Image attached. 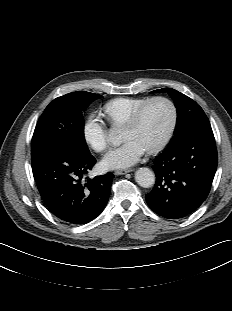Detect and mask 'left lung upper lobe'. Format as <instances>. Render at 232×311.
I'll use <instances>...</instances> for the list:
<instances>
[{
	"label": "left lung upper lobe",
	"mask_w": 232,
	"mask_h": 311,
	"mask_svg": "<svg viewBox=\"0 0 232 311\" xmlns=\"http://www.w3.org/2000/svg\"><path fill=\"white\" fill-rule=\"evenodd\" d=\"M152 92H167L173 98L175 107L177 108V122L174 136L170 143L190 129L209 122L202 108L191 98L179 91L172 88H162Z\"/></svg>",
	"instance_id": "5c2ea615"
}]
</instances>
